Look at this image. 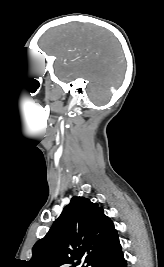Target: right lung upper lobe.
<instances>
[{
	"label": "right lung upper lobe",
	"instance_id": "cb5924a9",
	"mask_svg": "<svg viewBox=\"0 0 164 267\" xmlns=\"http://www.w3.org/2000/svg\"><path fill=\"white\" fill-rule=\"evenodd\" d=\"M120 248L114 224L103 209L87 198L74 196L46 236L34 245L28 266L75 267L86 256V267H93Z\"/></svg>",
	"mask_w": 164,
	"mask_h": 267
}]
</instances>
